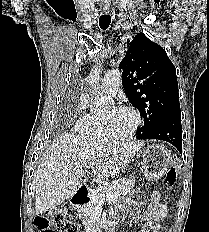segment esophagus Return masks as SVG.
Returning a JSON list of instances; mask_svg holds the SVG:
<instances>
[{"label": "esophagus", "instance_id": "34e87169", "mask_svg": "<svg viewBox=\"0 0 209 232\" xmlns=\"http://www.w3.org/2000/svg\"><path fill=\"white\" fill-rule=\"evenodd\" d=\"M103 12H104L105 14H109V13H110V10H109V9H104Z\"/></svg>", "mask_w": 209, "mask_h": 232}]
</instances>
